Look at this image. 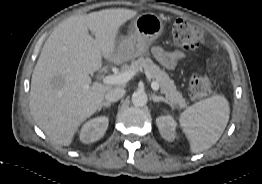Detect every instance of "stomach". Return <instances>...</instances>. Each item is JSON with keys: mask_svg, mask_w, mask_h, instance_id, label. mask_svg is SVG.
<instances>
[{"mask_svg": "<svg viewBox=\"0 0 262 184\" xmlns=\"http://www.w3.org/2000/svg\"><path fill=\"white\" fill-rule=\"evenodd\" d=\"M164 31V23L155 13H142L132 22L131 33L123 38L116 49L119 59L127 60L146 55L149 47Z\"/></svg>", "mask_w": 262, "mask_h": 184, "instance_id": "1", "label": "stomach"}]
</instances>
